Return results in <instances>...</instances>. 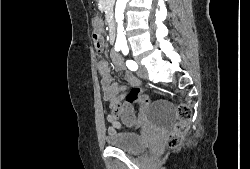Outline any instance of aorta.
<instances>
[{"label": "aorta", "mask_w": 250, "mask_h": 169, "mask_svg": "<svg viewBox=\"0 0 250 169\" xmlns=\"http://www.w3.org/2000/svg\"><path fill=\"white\" fill-rule=\"evenodd\" d=\"M128 0H116L115 6V20L117 22V38H122L125 40V34L123 32V20H124V10L126 8Z\"/></svg>", "instance_id": "762f6f07"}]
</instances>
